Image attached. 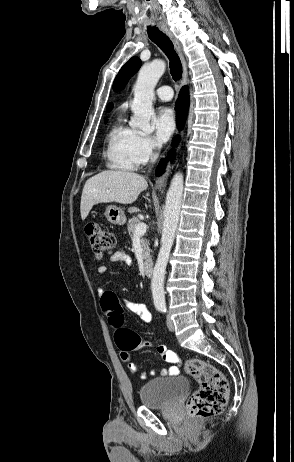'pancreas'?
Listing matches in <instances>:
<instances>
[{"label":"pancreas","instance_id":"obj_1","mask_svg":"<svg viewBox=\"0 0 294 462\" xmlns=\"http://www.w3.org/2000/svg\"><path fill=\"white\" fill-rule=\"evenodd\" d=\"M140 223V220L137 217H133L128 221V232L131 239L135 235V228ZM141 246H142V257L143 259H147L150 257V248H149V241L143 237H141Z\"/></svg>","mask_w":294,"mask_h":462}]
</instances>
